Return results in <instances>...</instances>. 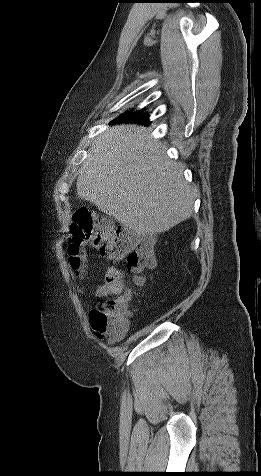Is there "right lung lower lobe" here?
I'll return each mask as SVG.
<instances>
[{"label": "right lung lower lobe", "mask_w": 261, "mask_h": 476, "mask_svg": "<svg viewBox=\"0 0 261 476\" xmlns=\"http://www.w3.org/2000/svg\"><path fill=\"white\" fill-rule=\"evenodd\" d=\"M119 120H123V119H120V118H119ZM127 121H134V120H133V119H128V118H127ZM135 121H136V120H135ZM137 122H139V121H137ZM144 122H147V121H141V122H139V123H144Z\"/></svg>", "instance_id": "1"}]
</instances>
